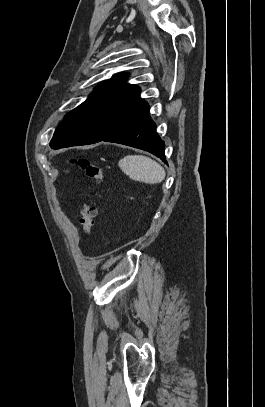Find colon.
<instances>
[{"instance_id":"colon-1","label":"colon","mask_w":265,"mask_h":407,"mask_svg":"<svg viewBox=\"0 0 265 407\" xmlns=\"http://www.w3.org/2000/svg\"><path fill=\"white\" fill-rule=\"evenodd\" d=\"M71 163L76 165L94 184L101 185L105 182L106 177L101 165L91 162L88 159H72ZM97 209L91 200L83 203L81 225L83 234L89 236L95 224Z\"/></svg>"}]
</instances>
